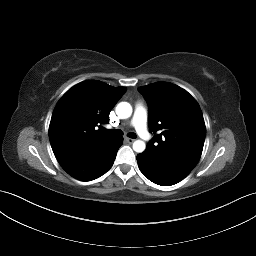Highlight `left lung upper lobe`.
Wrapping results in <instances>:
<instances>
[{"label":"left lung upper lobe","mask_w":256,"mask_h":256,"mask_svg":"<svg viewBox=\"0 0 256 256\" xmlns=\"http://www.w3.org/2000/svg\"><path fill=\"white\" fill-rule=\"evenodd\" d=\"M149 105V156L168 168L188 175L203 150L206 127L200 106L184 89L166 82L139 87Z\"/></svg>","instance_id":"5c2ea615"}]
</instances>
